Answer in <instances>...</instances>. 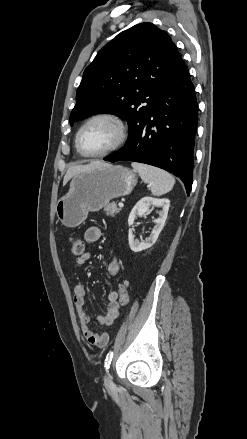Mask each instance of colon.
I'll return each instance as SVG.
<instances>
[{
	"mask_svg": "<svg viewBox=\"0 0 247 439\" xmlns=\"http://www.w3.org/2000/svg\"><path fill=\"white\" fill-rule=\"evenodd\" d=\"M85 244L84 241L80 238H75L72 241L71 252L74 256H81L84 253ZM129 285L124 282L119 285V306H126L129 301Z\"/></svg>",
	"mask_w": 247,
	"mask_h": 439,
	"instance_id": "colon-1",
	"label": "colon"
}]
</instances>
